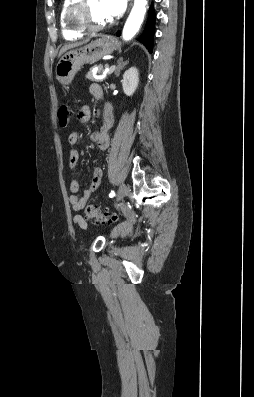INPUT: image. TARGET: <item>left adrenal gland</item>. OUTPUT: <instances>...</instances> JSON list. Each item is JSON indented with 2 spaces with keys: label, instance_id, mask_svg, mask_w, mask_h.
I'll list each match as a JSON object with an SVG mask.
<instances>
[{
  "label": "left adrenal gland",
  "instance_id": "left-adrenal-gland-1",
  "mask_svg": "<svg viewBox=\"0 0 254 397\" xmlns=\"http://www.w3.org/2000/svg\"><path fill=\"white\" fill-rule=\"evenodd\" d=\"M128 62L129 61H123V58H120L118 61H117V67H116V69H115V75H116V77H118L119 76V74H120V71L125 67V65H127L128 64Z\"/></svg>",
  "mask_w": 254,
  "mask_h": 397
}]
</instances>
